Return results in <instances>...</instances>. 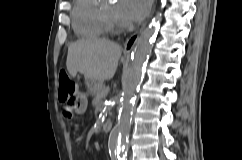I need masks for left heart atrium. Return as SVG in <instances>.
<instances>
[{
    "label": "left heart atrium",
    "instance_id": "obj_1",
    "mask_svg": "<svg viewBox=\"0 0 242 160\" xmlns=\"http://www.w3.org/2000/svg\"><path fill=\"white\" fill-rule=\"evenodd\" d=\"M151 0H119L115 5V13L123 25L140 21L148 12Z\"/></svg>",
    "mask_w": 242,
    "mask_h": 160
}]
</instances>
